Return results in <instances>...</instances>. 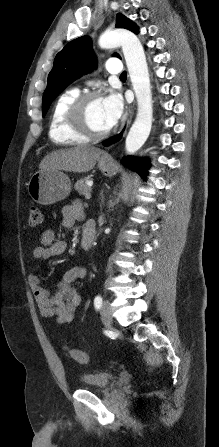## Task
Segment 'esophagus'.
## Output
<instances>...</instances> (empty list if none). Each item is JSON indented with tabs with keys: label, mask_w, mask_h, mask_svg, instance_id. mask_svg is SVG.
<instances>
[{
	"label": "esophagus",
	"mask_w": 219,
	"mask_h": 447,
	"mask_svg": "<svg viewBox=\"0 0 219 447\" xmlns=\"http://www.w3.org/2000/svg\"><path fill=\"white\" fill-rule=\"evenodd\" d=\"M133 113H134V110H133V108H132L131 111H130V118H132Z\"/></svg>",
	"instance_id": "34e87169"
}]
</instances>
